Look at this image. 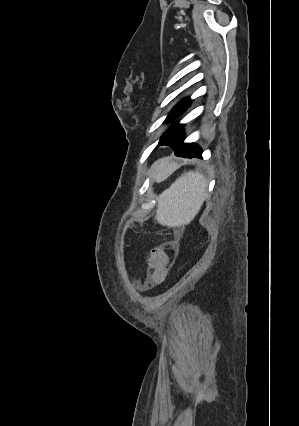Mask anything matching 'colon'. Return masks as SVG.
I'll list each match as a JSON object with an SVG mask.
<instances>
[{
	"label": "colon",
	"mask_w": 299,
	"mask_h": 426,
	"mask_svg": "<svg viewBox=\"0 0 299 426\" xmlns=\"http://www.w3.org/2000/svg\"><path fill=\"white\" fill-rule=\"evenodd\" d=\"M148 264L149 286L154 287L163 283L168 275V256L165 245L156 246L150 250Z\"/></svg>",
	"instance_id": "obj_1"
}]
</instances>
